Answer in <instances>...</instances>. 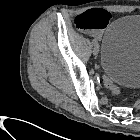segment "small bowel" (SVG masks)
Here are the masks:
<instances>
[{
  "label": "small bowel",
  "mask_w": 140,
  "mask_h": 140,
  "mask_svg": "<svg viewBox=\"0 0 140 140\" xmlns=\"http://www.w3.org/2000/svg\"><path fill=\"white\" fill-rule=\"evenodd\" d=\"M95 35H96V36H99V33H96Z\"/></svg>",
  "instance_id": "small-bowel-1"
}]
</instances>
